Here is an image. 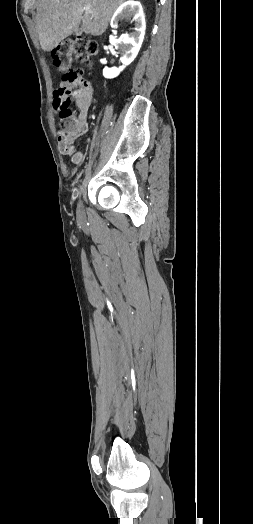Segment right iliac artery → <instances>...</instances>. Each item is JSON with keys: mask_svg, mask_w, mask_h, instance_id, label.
I'll use <instances>...</instances> for the list:
<instances>
[{"mask_svg": "<svg viewBox=\"0 0 253 524\" xmlns=\"http://www.w3.org/2000/svg\"><path fill=\"white\" fill-rule=\"evenodd\" d=\"M81 191H82V186L80 185L79 188H78V190H77L76 193L74 194V199H76L78 196H80Z\"/></svg>", "mask_w": 253, "mask_h": 524, "instance_id": "1", "label": "right iliac artery"}]
</instances>
